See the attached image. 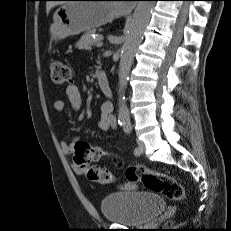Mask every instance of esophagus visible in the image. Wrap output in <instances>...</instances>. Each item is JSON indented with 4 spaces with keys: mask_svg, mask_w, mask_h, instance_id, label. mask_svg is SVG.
I'll return each instance as SVG.
<instances>
[{
    "mask_svg": "<svg viewBox=\"0 0 231 231\" xmlns=\"http://www.w3.org/2000/svg\"><path fill=\"white\" fill-rule=\"evenodd\" d=\"M121 7L123 9H126L127 11H132V9L135 7L133 4H121Z\"/></svg>",
    "mask_w": 231,
    "mask_h": 231,
    "instance_id": "34e87169",
    "label": "esophagus"
}]
</instances>
